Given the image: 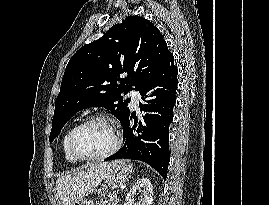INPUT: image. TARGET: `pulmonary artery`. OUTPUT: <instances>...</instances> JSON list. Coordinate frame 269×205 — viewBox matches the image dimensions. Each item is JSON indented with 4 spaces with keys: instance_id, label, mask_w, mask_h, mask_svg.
<instances>
[{
    "instance_id": "e3ab8cb5",
    "label": "pulmonary artery",
    "mask_w": 269,
    "mask_h": 205,
    "mask_svg": "<svg viewBox=\"0 0 269 205\" xmlns=\"http://www.w3.org/2000/svg\"><path fill=\"white\" fill-rule=\"evenodd\" d=\"M129 95L131 96V100H132V104L134 106H137L138 104V101L140 99V94L138 91H130L129 92Z\"/></svg>"
}]
</instances>
